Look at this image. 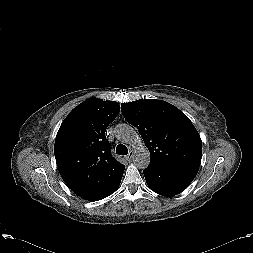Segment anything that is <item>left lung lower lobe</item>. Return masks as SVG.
<instances>
[{
    "mask_svg": "<svg viewBox=\"0 0 253 253\" xmlns=\"http://www.w3.org/2000/svg\"><path fill=\"white\" fill-rule=\"evenodd\" d=\"M198 169L199 167L185 163L150 161L143 173L151 190L163 196H174L189 186Z\"/></svg>",
    "mask_w": 253,
    "mask_h": 253,
    "instance_id": "0a47b994",
    "label": "left lung lower lobe"
}]
</instances>
